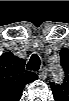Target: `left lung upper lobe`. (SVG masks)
Returning a JSON list of instances; mask_svg holds the SVG:
<instances>
[{
	"label": "left lung upper lobe",
	"instance_id": "obj_1",
	"mask_svg": "<svg viewBox=\"0 0 69 101\" xmlns=\"http://www.w3.org/2000/svg\"><path fill=\"white\" fill-rule=\"evenodd\" d=\"M62 65H63V67L65 68V70H67V67H66V65L62 62ZM57 86L54 84V83H52L51 84V88L52 89H54V88H56Z\"/></svg>",
	"mask_w": 69,
	"mask_h": 101
}]
</instances>
